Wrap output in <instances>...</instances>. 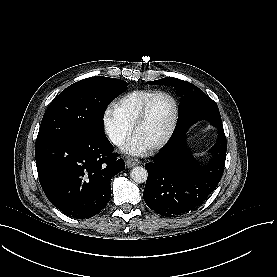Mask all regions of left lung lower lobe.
Returning <instances> with one entry per match:
<instances>
[{"mask_svg": "<svg viewBox=\"0 0 277 277\" xmlns=\"http://www.w3.org/2000/svg\"><path fill=\"white\" fill-rule=\"evenodd\" d=\"M213 148L221 151L209 165L189 167L192 158L186 148L185 134L165 145L153 161L145 164L148 172L143 198L156 213L178 217L201 205L217 187L225 167L227 141L223 127Z\"/></svg>", "mask_w": 277, "mask_h": 277, "instance_id": "left-lung-lower-lobe-1", "label": "left lung lower lobe"}]
</instances>
